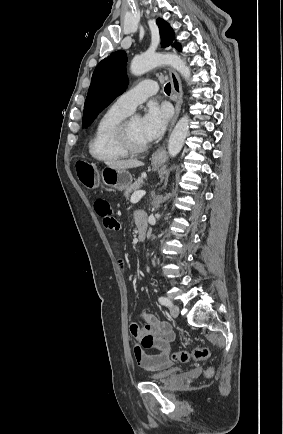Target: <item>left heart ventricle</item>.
<instances>
[{
    "mask_svg": "<svg viewBox=\"0 0 283 434\" xmlns=\"http://www.w3.org/2000/svg\"><path fill=\"white\" fill-rule=\"evenodd\" d=\"M129 130H130L131 137L135 142L137 143L147 142L145 141L141 133V118L133 117L129 125Z\"/></svg>",
    "mask_w": 283,
    "mask_h": 434,
    "instance_id": "obj_1",
    "label": "left heart ventricle"
}]
</instances>
